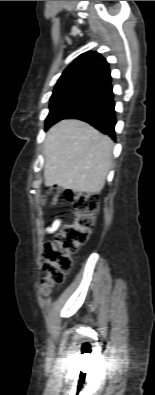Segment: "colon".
<instances>
[{"mask_svg":"<svg viewBox=\"0 0 155 395\" xmlns=\"http://www.w3.org/2000/svg\"><path fill=\"white\" fill-rule=\"evenodd\" d=\"M58 190L53 201L58 199ZM74 218L64 223L54 241L45 245L43 251L42 291L47 293L54 284L64 280L65 273L71 268L72 259L79 247L84 245L93 227L94 215L98 210L99 199L96 194H75L67 192Z\"/></svg>","mask_w":155,"mask_h":395,"instance_id":"5ec220e1","label":"colon"}]
</instances>
